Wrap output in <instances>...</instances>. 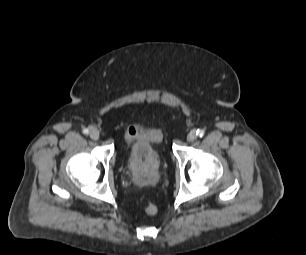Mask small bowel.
<instances>
[{"label":"small bowel","mask_w":306,"mask_h":255,"mask_svg":"<svg viewBox=\"0 0 306 255\" xmlns=\"http://www.w3.org/2000/svg\"><path fill=\"white\" fill-rule=\"evenodd\" d=\"M139 128L140 127L132 126V127L129 128L127 134L128 135H135V134H137L139 132Z\"/></svg>","instance_id":"obj_1"}]
</instances>
